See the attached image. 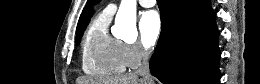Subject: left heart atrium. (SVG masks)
<instances>
[{
    "label": "left heart atrium",
    "instance_id": "obj_1",
    "mask_svg": "<svg viewBox=\"0 0 260 84\" xmlns=\"http://www.w3.org/2000/svg\"><path fill=\"white\" fill-rule=\"evenodd\" d=\"M161 29L159 14L154 11H146L139 21L140 38L145 47H151L156 42Z\"/></svg>",
    "mask_w": 260,
    "mask_h": 84
}]
</instances>
